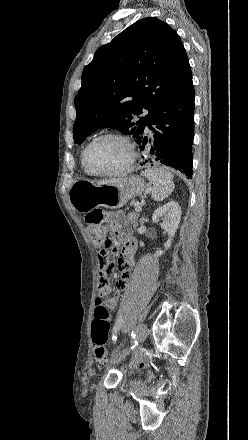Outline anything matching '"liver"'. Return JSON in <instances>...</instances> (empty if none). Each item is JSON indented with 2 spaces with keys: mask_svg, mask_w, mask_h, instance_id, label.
Instances as JSON below:
<instances>
[{
  "mask_svg": "<svg viewBox=\"0 0 248 440\" xmlns=\"http://www.w3.org/2000/svg\"><path fill=\"white\" fill-rule=\"evenodd\" d=\"M119 181H122V180H119V179H116V180H109V181L103 182V184H106V183H112V182H119Z\"/></svg>",
  "mask_w": 248,
  "mask_h": 440,
  "instance_id": "liver-1",
  "label": "liver"
}]
</instances>
